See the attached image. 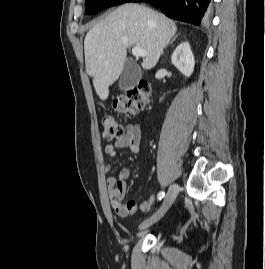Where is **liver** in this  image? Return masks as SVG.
<instances>
[{
    "label": "liver",
    "mask_w": 265,
    "mask_h": 269,
    "mask_svg": "<svg viewBox=\"0 0 265 269\" xmlns=\"http://www.w3.org/2000/svg\"><path fill=\"white\" fill-rule=\"evenodd\" d=\"M176 31V24L165 15L132 3L118 7L93 26L84 41L85 65L99 98H108L109 87L123 71L128 47L147 52L141 66L149 70Z\"/></svg>",
    "instance_id": "6515ba94"
}]
</instances>
